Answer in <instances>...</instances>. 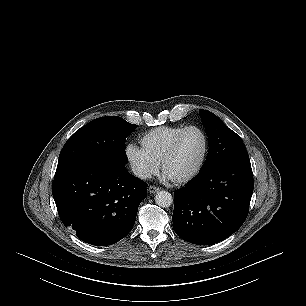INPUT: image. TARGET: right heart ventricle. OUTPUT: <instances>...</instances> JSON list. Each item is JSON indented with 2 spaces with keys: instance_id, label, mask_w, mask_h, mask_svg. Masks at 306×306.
Wrapping results in <instances>:
<instances>
[{
  "instance_id": "1",
  "label": "right heart ventricle",
  "mask_w": 306,
  "mask_h": 306,
  "mask_svg": "<svg viewBox=\"0 0 306 306\" xmlns=\"http://www.w3.org/2000/svg\"><path fill=\"white\" fill-rule=\"evenodd\" d=\"M183 128L184 126H161L151 129L141 136V145L160 163L171 142Z\"/></svg>"
}]
</instances>
